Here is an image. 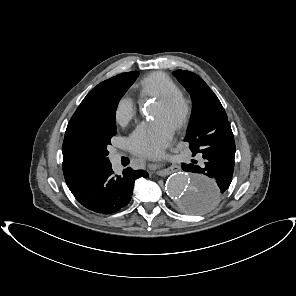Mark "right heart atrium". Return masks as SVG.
<instances>
[{"label":"right heart atrium","instance_id":"obj_1","mask_svg":"<svg viewBox=\"0 0 296 296\" xmlns=\"http://www.w3.org/2000/svg\"><path fill=\"white\" fill-rule=\"evenodd\" d=\"M136 113V102L132 98L124 96L116 105L114 112L115 121L121 126H126L135 118Z\"/></svg>","mask_w":296,"mask_h":296}]
</instances>
